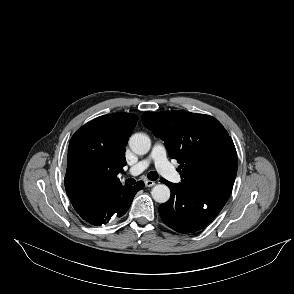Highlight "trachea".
Listing matches in <instances>:
<instances>
[{"label":"trachea","mask_w":294,"mask_h":294,"mask_svg":"<svg viewBox=\"0 0 294 294\" xmlns=\"http://www.w3.org/2000/svg\"><path fill=\"white\" fill-rule=\"evenodd\" d=\"M147 177L152 180L155 181L158 179V173L155 171H151L148 173ZM136 183V181L133 178H129L125 181L126 185H134Z\"/></svg>","instance_id":"1"}]
</instances>
